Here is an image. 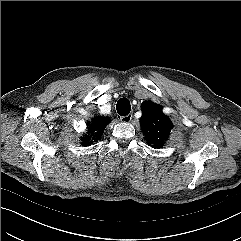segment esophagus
<instances>
[{"instance_id": "obj_1", "label": "esophagus", "mask_w": 241, "mask_h": 241, "mask_svg": "<svg viewBox=\"0 0 241 241\" xmlns=\"http://www.w3.org/2000/svg\"><path fill=\"white\" fill-rule=\"evenodd\" d=\"M132 114H128V115H126V116H122V117H120V120L122 121V122H126V123H128V122H130L131 120H132Z\"/></svg>"}]
</instances>
